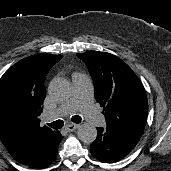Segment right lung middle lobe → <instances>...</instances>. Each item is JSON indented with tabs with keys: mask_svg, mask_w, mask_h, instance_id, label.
I'll use <instances>...</instances> for the list:
<instances>
[{
	"mask_svg": "<svg viewBox=\"0 0 171 171\" xmlns=\"http://www.w3.org/2000/svg\"><path fill=\"white\" fill-rule=\"evenodd\" d=\"M3 99H4V102H5V103H9V101H10V92L5 91V92L3 93Z\"/></svg>",
	"mask_w": 171,
	"mask_h": 171,
	"instance_id": "obj_1",
	"label": "right lung middle lobe"
}]
</instances>
